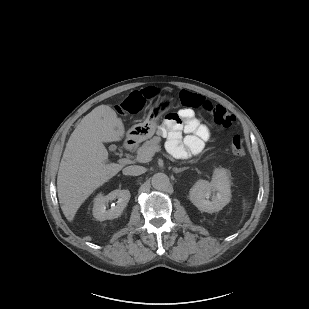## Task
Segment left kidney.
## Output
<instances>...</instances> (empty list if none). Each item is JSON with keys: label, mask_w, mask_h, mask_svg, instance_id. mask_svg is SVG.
Masks as SVG:
<instances>
[{"label": "left kidney", "mask_w": 309, "mask_h": 309, "mask_svg": "<svg viewBox=\"0 0 309 309\" xmlns=\"http://www.w3.org/2000/svg\"><path fill=\"white\" fill-rule=\"evenodd\" d=\"M189 198L200 211L213 213L221 210L231 199L228 171L216 168L211 182L197 181L190 189Z\"/></svg>", "instance_id": "5707ae66"}]
</instances>
